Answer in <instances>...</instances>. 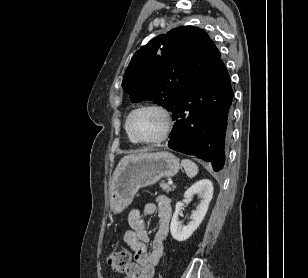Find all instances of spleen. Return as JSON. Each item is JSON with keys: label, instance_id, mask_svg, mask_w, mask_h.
Segmentation results:
<instances>
[{"label": "spleen", "instance_id": "obj_1", "mask_svg": "<svg viewBox=\"0 0 308 278\" xmlns=\"http://www.w3.org/2000/svg\"><path fill=\"white\" fill-rule=\"evenodd\" d=\"M185 172L189 178H193L198 173V166L189 159H183L181 162Z\"/></svg>", "mask_w": 308, "mask_h": 278}]
</instances>
